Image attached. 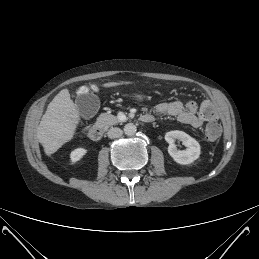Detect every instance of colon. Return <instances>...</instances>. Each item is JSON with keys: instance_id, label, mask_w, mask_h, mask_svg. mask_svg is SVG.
Here are the masks:
<instances>
[{"instance_id": "obj_1", "label": "colon", "mask_w": 259, "mask_h": 259, "mask_svg": "<svg viewBox=\"0 0 259 259\" xmlns=\"http://www.w3.org/2000/svg\"><path fill=\"white\" fill-rule=\"evenodd\" d=\"M84 91L85 89H82V92ZM200 111L208 120H210L205 128V137L211 141L216 140L221 134V126L216 121L220 116L219 109L212 106L208 100H205L201 105Z\"/></svg>"}]
</instances>
